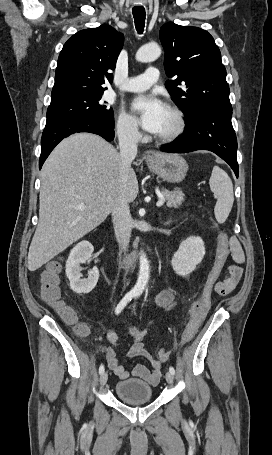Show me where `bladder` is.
I'll return each instance as SVG.
<instances>
[{
    "instance_id": "1",
    "label": "bladder",
    "mask_w": 272,
    "mask_h": 455,
    "mask_svg": "<svg viewBox=\"0 0 272 455\" xmlns=\"http://www.w3.org/2000/svg\"><path fill=\"white\" fill-rule=\"evenodd\" d=\"M117 397L125 403L131 405H140L152 400V387L140 379H125L115 385Z\"/></svg>"
}]
</instances>
